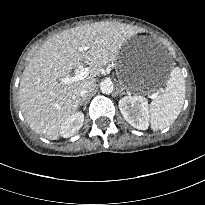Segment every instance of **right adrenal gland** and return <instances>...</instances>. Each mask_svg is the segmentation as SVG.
I'll use <instances>...</instances> for the list:
<instances>
[{"instance_id": "2a0ac1e0", "label": "right adrenal gland", "mask_w": 205, "mask_h": 205, "mask_svg": "<svg viewBox=\"0 0 205 205\" xmlns=\"http://www.w3.org/2000/svg\"><path fill=\"white\" fill-rule=\"evenodd\" d=\"M84 102H85V98H82L81 101H80V106L83 105Z\"/></svg>"}]
</instances>
